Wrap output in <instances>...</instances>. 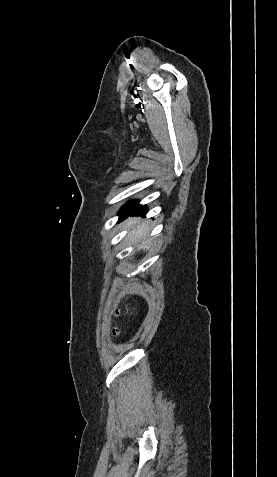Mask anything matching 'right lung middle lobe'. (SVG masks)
<instances>
[{
    "label": "right lung middle lobe",
    "instance_id": "obj_1",
    "mask_svg": "<svg viewBox=\"0 0 277 477\" xmlns=\"http://www.w3.org/2000/svg\"><path fill=\"white\" fill-rule=\"evenodd\" d=\"M136 201H132V202H129L128 204H126L120 211V215L122 212H124L125 210H127L128 208H130Z\"/></svg>",
    "mask_w": 277,
    "mask_h": 477
}]
</instances>
